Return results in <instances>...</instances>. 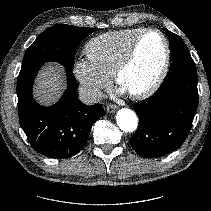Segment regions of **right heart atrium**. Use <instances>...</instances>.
Returning <instances> with one entry per match:
<instances>
[{"label":"right heart atrium","instance_id":"right-heart-atrium-1","mask_svg":"<svg viewBox=\"0 0 211 211\" xmlns=\"http://www.w3.org/2000/svg\"><path fill=\"white\" fill-rule=\"evenodd\" d=\"M74 74L80 90L88 101H97L110 83V77L100 71L88 57L78 58L74 63Z\"/></svg>","mask_w":211,"mask_h":211}]
</instances>
